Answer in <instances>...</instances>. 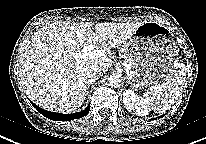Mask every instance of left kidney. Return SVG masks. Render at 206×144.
I'll return each instance as SVG.
<instances>
[{
    "label": "left kidney",
    "mask_w": 206,
    "mask_h": 144,
    "mask_svg": "<svg viewBox=\"0 0 206 144\" xmlns=\"http://www.w3.org/2000/svg\"><path fill=\"white\" fill-rule=\"evenodd\" d=\"M123 103L128 111H134L138 116H146L149 114L150 108L145 100L136 95L132 90L123 92Z\"/></svg>",
    "instance_id": "5707ae66"
}]
</instances>
